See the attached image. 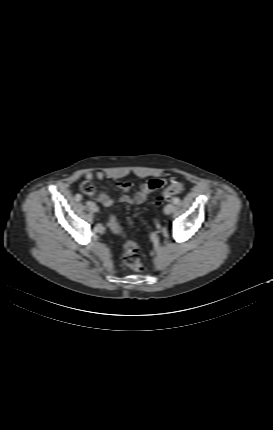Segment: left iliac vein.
Instances as JSON below:
<instances>
[{
	"mask_svg": "<svg viewBox=\"0 0 273 430\" xmlns=\"http://www.w3.org/2000/svg\"><path fill=\"white\" fill-rule=\"evenodd\" d=\"M173 210H174V205L173 204H168L164 208V213L167 214V215H169V214H171L173 212Z\"/></svg>",
	"mask_w": 273,
	"mask_h": 430,
	"instance_id": "left-iliac-vein-1",
	"label": "left iliac vein"
}]
</instances>
